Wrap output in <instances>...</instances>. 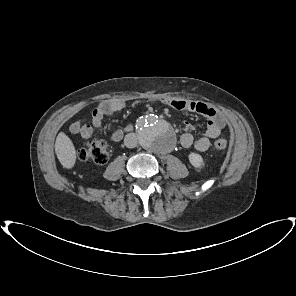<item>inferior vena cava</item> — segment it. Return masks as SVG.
Instances as JSON below:
<instances>
[{
  "mask_svg": "<svg viewBox=\"0 0 296 296\" xmlns=\"http://www.w3.org/2000/svg\"><path fill=\"white\" fill-rule=\"evenodd\" d=\"M138 138L135 133H129L124 138V144L128 148H134L137 146Z\"/></svg>",
  "mask_w": 296,
  "mask_h": 296,
  "instance_id": "obj_1",
  "label": "inferior vena cava"
}]
</instances>
